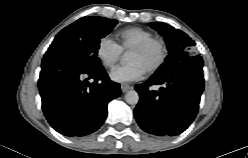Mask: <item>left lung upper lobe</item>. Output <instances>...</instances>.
<instances>
[{
	"label": "left lung upper lobe",
	"instance_id": "left-lung-upper-lobe-1",
	"mask_svg": "<svg viewBox=\"0 0 248 158\" xmlns=\"http://www.w3.org/2000/svg\"><path fill=\"white\" fill-rule=\"evenodd\" d=\"M148 25L153 29L158 30V32L164 37L169 51V55L166 57L165 62L154 75H162L180 61L192 56L188 50L195 45V42L192 41L186 33L181 30H175L172 26L162 22H152Z\"/></svg>",
	"mask_w": 248,
	"mask_h": 158
}]
</instances>
